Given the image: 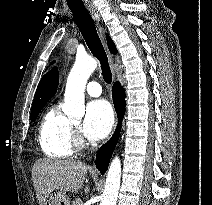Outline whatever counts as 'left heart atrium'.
Returning a JSON list of instances; mask_svg holds the SVG:
<instances>
[{
    "instance_id": "1",
    "label": "left heart atrium",
    "mask_w": 212,
    "mask_h": 205,
    "mask_svg": "<svg viewBox=\"0 0 212 205\" xmlns=\"http://www.w3.org/2000/svg\"><path fill=\"white\" fill-rule=\"evenodd\" d=\"M114 123L111 106L105 100H94L86 107L84 135L90 140H101L108 135Z\"/></svg>"
}]
</instances>
